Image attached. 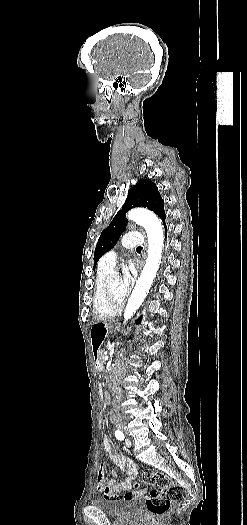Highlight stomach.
Returning a JSON list of instances; mask_svg holds the SVG:
<instances>
[{"label": "stomach", "instance_id": "stomach-1", "mask_svg": "<svg viewBox=\"0 0 247 525\" xmlns=\"http://www.w3.org/2000/svg\"><path fill=\"white\" fill-rule=\"evenodd\" d=\"M107 333H108V326L105 324H95L91 328V332H90L91 346H92V349L95 355L98 350V347L100 346L101 342L104 340Z\"/></svg>", "mask_w": 247, "mask_h": 525}]
</instances>
